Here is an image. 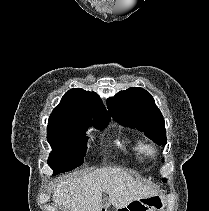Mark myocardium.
Wrapping results in <instances>:
<instances>
[{
  "label": "myocardium",
  "mask_w": 209,
  "mask_h": 211,
  "mask_svg": "<svg viewBox=\"0 0 209 211\" xmlns=\"http://www.w3.org/2000/svg\"><path fill=\"white\" fill-rule=\"evenodd\" d=\"M145 154L151 158L155 157L157 154L156 147L153 144H148L145 146Z\"/></svg>",
  "instance_id": "obj_1"
}]
</instances>
